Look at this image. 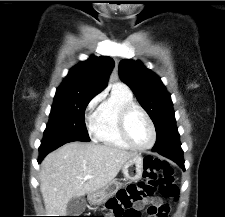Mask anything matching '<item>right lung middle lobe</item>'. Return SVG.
I'll use <instances>...</instances> for the list:
<instances>
[{
    "mask_svg": "<svg viewBox=\"0 0 225 217\" xmlns=\"http://www.w3.org/2000/svg\"><path fill=\"white\" fill-rule=\"evenodd\" d=\"M93 97L55 95L43 140L90 141L84 113Z\"/></svg>",
    "mask_w": 225,
    "mask_h": 217,
    "instance_id": "right-lung-middle-lobe-1",
    "label": "right lung middle lobe"
}]
</instances>
